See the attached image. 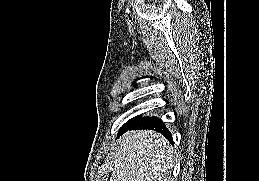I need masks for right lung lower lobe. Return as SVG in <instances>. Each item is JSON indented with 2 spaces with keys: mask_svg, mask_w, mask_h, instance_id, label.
<instances>
[{
  "mask_svg": "<svg viewBox=\"0 0 259 181\" xmlns=\"http://www.w3.org/2000/svg\"><path fill=\"white\" fill-rule=\"evenodd\" d=\"M149 129L160 132L165 136L171 143H173L172 136L168 129L165 127L163 121L157 117H139L136 121L122 127L119 131V135L128 130H141Z\"/></svg>",
  "mask_w": 259,
  "mask_h": 181,
  "instance_id": "98d812e1",
  "label": "right lung lower lobe"
}]
</instances>
